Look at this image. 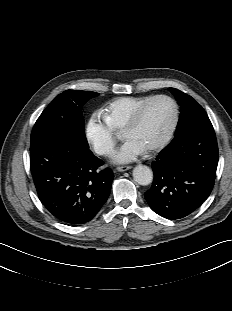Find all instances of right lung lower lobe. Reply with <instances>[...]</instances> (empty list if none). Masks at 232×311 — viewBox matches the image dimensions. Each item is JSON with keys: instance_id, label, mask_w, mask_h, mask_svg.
Returning <instances> with one entry per match:
<instances>
[{"instance_id": "obj_1", "label": "right lung lower lobe", "mask_w": 232, "mask_h": 311, "mask_svg": "<svg viewBox=\"0 0 232 311\" xmlns=\"http://www.w3.org/2000/svg\"><path fill=\"white\" fill-rule=\"evenodd\" d=\"M89 149L63 137L31 143L30 167L39 199L60 221L79 225L92 220L106 202L113 172Z\"/></svg>"}]
</instances>
